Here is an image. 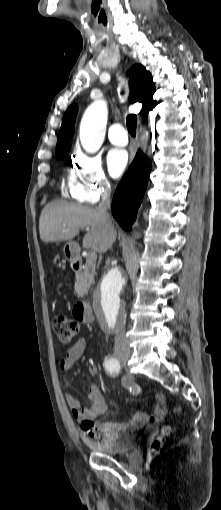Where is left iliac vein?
Listing matches in <instances>:
<instances>
[{
	"instance_id": "4c4485c4",
	"label": "left iliac vein",
	"mask_w": 221,
	"mask_h": 510,
	"mask_svg": "<svg viewBox=\"0 0 221 510\" xmlns=\"http://www.w3.org/2000/svg\"><path fill=\"white\" fill-rule=\"evenodd\" d=\"M121 363H122V365L124 366V365L126 364V361H123V362H121Z\"/></svg>"
}]
</instances>
